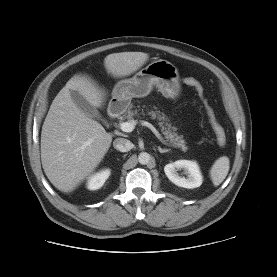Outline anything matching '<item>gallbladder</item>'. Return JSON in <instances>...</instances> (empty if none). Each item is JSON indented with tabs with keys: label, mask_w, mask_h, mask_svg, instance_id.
<instances>
[{
	"label": "gallbladder",
	"mask_w": 277,
	"mask_h": 277,
	"mask_svg": "<svg viewBox=\"0 0 277 277\" xmlns=\"http://www.w3.org/2000/svg\"><path fill=\"white\" fill-rule=\"evenodd\" d=\"M70 94L76 106L80 108L87 116L101 120L103 124H107V121L102 118L99 111L93 107L78 91L71 90Z\"/></svg>",
	"instance_id": "gallbladder-1"
}]
</instances>
